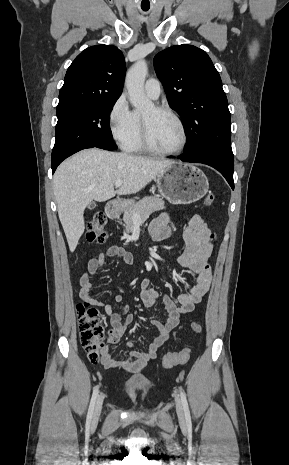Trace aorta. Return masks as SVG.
<instances>
[{
  "instance_id": "aorta-1",
  "label": "aorta",
  "mask_w": 289,
  "mask_h": 465,
  "mask_svg": "<svg viewBox=\"0 0 289 465\" xmlns=\"http://www.w3.org/2000/svg\"><path fill=\"white\" fill-rule=\"evenodd\" d=\"M147 73L148 67L146 61L139 60L129 69L125 80L129 100L140 111L153 106L152 101L147 98L144 91V82Z\"/></svg>"
}]
</instances>
